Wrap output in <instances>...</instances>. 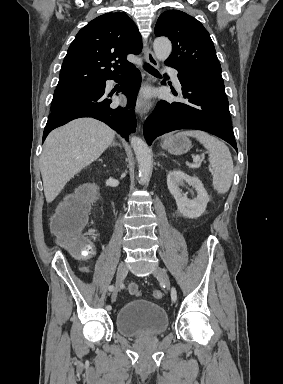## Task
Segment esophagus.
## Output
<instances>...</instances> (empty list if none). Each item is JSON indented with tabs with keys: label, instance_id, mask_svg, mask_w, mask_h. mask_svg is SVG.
Segmentation results:
<instances>
[{
	"label": "esophagus",
	"instance_id": "34e87169",
	"mask_svg": "<svg viewBox=\"0 0 283 384\" xmlns=\"http://www.w3.org/2000/svg\"><path fill=\"white\" fill-rule=\"evenodd\" d=\"M144 58L145 60L150 64L152 65V67H155L156 68H159V63L157 61V59L155 58V55L154 53L152 52V50H150L149 47H145L144 48ZM157 81V79L155 77H152V76H147L146 78V82H152V83H155ZM146 106V99L143 98L142 96H140L138 99H137V102H136V111L139 112L140 110H142L144 107Z\"/></svg>",
	"mask_w": 283,
	"mask_h": 384
}]
</instances>
